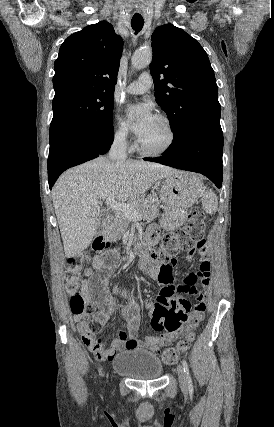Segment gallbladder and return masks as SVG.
<instances>
[{
    "label": "gallbladder",
    "instance_id": "obj_1",
    "mask_svg": "<svg viewBox=\"0 0 274 427\" xmlns=\"http://www.w3.org/2000/svg\"><path fill=\"white\" fill-rule=\"evenodd\" d=\"M105 215H102L100 219V225H97V229L95 231L96 235H99L100 231H102V221H104Z\"/></svg>",
    "mask_w": 274,
    "mask_h": 427
}]
</instances>
